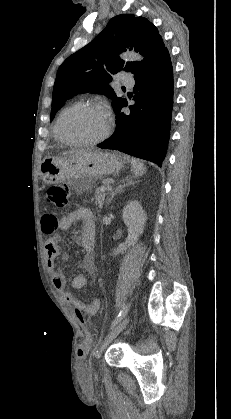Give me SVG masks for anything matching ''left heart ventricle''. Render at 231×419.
Masks as SVG:
<instances>
[{
  "instance_id": "b2bd125f",
  "label": "left heart ventricle",
  "mask_w": 231,
  "mask_h": 419,
  "mask_svg": "<svg viewBox=\"0 0 231 419\" xmlns=\"http://www.w3.org/2000/svg\"><path fill=\"white\" fill-rule=\"evenodd\" d=\"M106 125L107 119L101 111L80 109L64 119L63 130L72 138L87 140L101 135Z\"/></svg>"
}]
</instances>
